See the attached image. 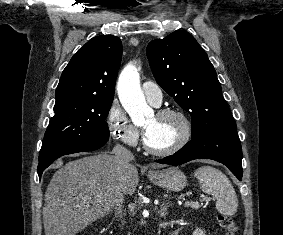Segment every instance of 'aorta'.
I'll use <instances>...</instances> for the list:
<instances>
[{
    "mask_svg": "<svg viewBox=\"0 0 283 235\" xmlns=\"http://www.w3.org/2000/svg\"><path fill=\"white\" fill-rule=\"evenodd\" d=\"M117 91L120 102L133 123L144 122L145 118L152 114L140 88L138 69L133 63L128 64L122 70L117 83Z\"/></svg>",
    "mask_w": 283,
    "mask_h": 235,
    "instance_id": "762f6f07",
    "label": "aorta"
}]
</instances>
